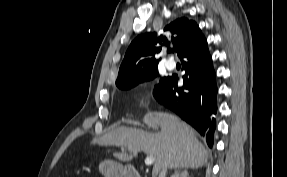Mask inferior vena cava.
<instances>
[{
    "label": "inferior vena cava",
    "mask_w": 287,
    "mask_h": 177,
    "mask_svg": "<svg viewBox=\"0 0 287 177\" xmlns=\"http://www.w3.org/2000/svg\"><path fill=\"white\" fill-rule=\"evenodd\" d=\"M166 173H167V166H163L162 169L159 172V177H166Z\"/></svg>",
    "instance_id": "inferior-vena-cava-1"
}]
</instances>
